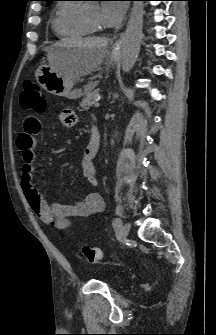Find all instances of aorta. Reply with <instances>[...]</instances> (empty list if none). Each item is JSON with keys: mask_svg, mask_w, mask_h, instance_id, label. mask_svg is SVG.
<instances>
[{"mask_svg": "<svg viewBox=\"0 0 216 335\" xmlns=\"http://www.w3.org/2000/svg\"><path fill=\"white\" fill-rule=\"evenodd\" d=\"M143 2L135 1L130 13L128 26L122 41L121 66L128 73L135 65L143 37Z\"/></svg>", "mask_w": 216, "mask_h": 335, "instance_id": "aorta-1", "label": "aorta"}]
</instances>
